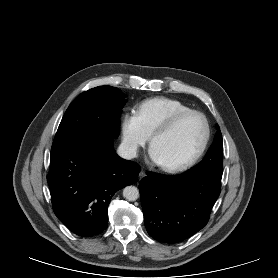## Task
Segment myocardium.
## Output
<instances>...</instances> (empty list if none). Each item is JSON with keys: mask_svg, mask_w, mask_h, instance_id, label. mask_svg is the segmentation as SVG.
<instances>
[{"mask_svg": "<svg viewBox=\"0 0 278 278\" xmlns=\"http://www.w3.org/2000/svg\"><path fill=\"white\" fill-rule=\"evenodd\" d=\"M190 115L199 116L203 120L205 132H204V137L201 142V145L198 148V150L190 158H188L187 160H185L183 162L173 164V165L160 164L161 168L166 172L177 173V172L187 170L188 168L192 167L195 163L198 162V160L203 156L204 152L207 149V146L209 144L210 137H211L210 123L204 113H202L198 110H194V109H189V110H185V111L176 113L171 118H169L167 121H165L163 124L158 126L151 134L150 145L152 147L154 141L159 136L164 135V134L170 132L171 130H173L183 118L190 116Z\"/></svg>", "mask_w": 278, "mask_h": 278, "instance_id": "f54148a6", "label": "myocardium"}]
</instances>
